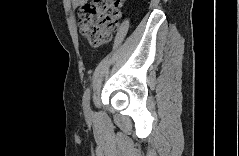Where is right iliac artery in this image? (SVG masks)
<instances>
[{"label": "right iliac artery", "mask_w": 239, "mask_h": 156, "mask_svg": "<svg viewBox=\"0 0 239 156\" xmlns=\"http://www.w3.org/2000/svg\"><path fill=\"white\" fill-rule=\"evenodd\" d=\"M89 100H90V89H86L84 96H83V109L85 113L89 110Z\"/></svg>", "instance_id": "obj_1"}]
</instances>
